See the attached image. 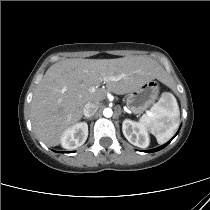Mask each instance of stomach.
I'll return each mask as SVG.
<instances>
[{
	"instance_id": "1",
	"label": "stomach",
	"mask_w": 210,
	"mask_h": 210,
	"mask_svg": "<svg viewBox=\"0 0 210 210\" xmlns=\"http://www.w3.org/2000/svg\"><path fill=\"white\" fill-rule=\"evenodd\" d=\"M158 92L159 85L156 81L146 82L127 94L126 105L133 113H142L154 104Z\"/></svg>"
}]
</instances>
